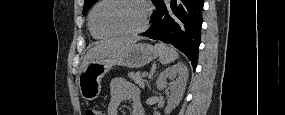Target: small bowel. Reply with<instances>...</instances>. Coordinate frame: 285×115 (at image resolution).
Segmentation results:
<instances>
[{
    "instance_id": "obj_1",
    "label": "small bowel",
    "mask_w": 285,
    "mask_h": 115,
    "mask_svg": "<svg viewBox=\"0 0 285 115\" xmlns=\"http://www.w3.org/2000/svg\"><path fill=\"white\" fill-rule=\"evenodd\" d=\"M123 101L129 102L132 106V115H144V110L140 102L139 89L124 78L112 80L110 85V102L108 114L116 115L117 107Z\"/></svg>"
}]
</instances>
